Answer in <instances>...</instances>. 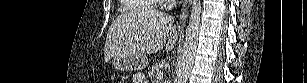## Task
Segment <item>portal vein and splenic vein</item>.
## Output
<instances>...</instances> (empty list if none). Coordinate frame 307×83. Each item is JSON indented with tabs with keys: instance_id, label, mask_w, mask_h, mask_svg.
I'll return each mask as SVG.
<instances>
[{
	"instance_id": "portal-vein-and-splenic-vein-1",
	"label": "portal vein and splenic vein",
	"mask_w": 307,
	"mask_h": 83,
	"mask_svg": "<svg viewBox=\"0 0 307 83\" xmlns=\"http://www.w3.org/2000/svg\"><path fill=\"white\" fill-rule=\"evenodd\" d=\"M162 75H163V74H162L161 72H160V73H158V79H159V78H161V77H162Z\"/></svg>"
}]
</instances>
